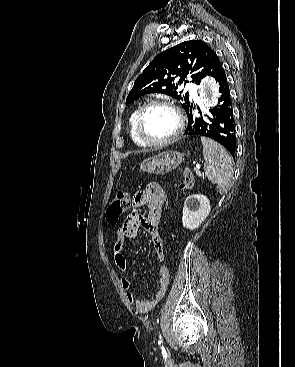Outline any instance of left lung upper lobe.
<instances>
[{"label":"left lung upper lobe","mask_w":295,"mask_h":367,"mask_svg":"<svg viewBox=\"0 0 295 367\" xmlns=\"http://www.w3.org/2000/svg\"><path fill=\"white\" fill-rule=\"evenodd\" d=\"M219 62L216 53L203 41L180 43L157 55L135 80L126 104L150 93H163L180 101L185 111L189 109V96L178 95L177 88L191 78L200 84L206 75L211 76ZM179 77V79H177Z\"/></svg>","instance_id":"obj_1"}]
</instances>
